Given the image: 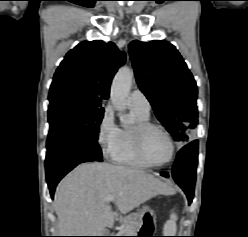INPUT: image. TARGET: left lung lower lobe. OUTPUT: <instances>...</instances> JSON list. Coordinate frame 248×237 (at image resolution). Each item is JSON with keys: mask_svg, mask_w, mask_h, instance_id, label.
Instances as JSON below:
<instances>
[{"mask_svg": "<svg viewBox=\"0 0 248 237\" xmlns=\"http://www.w3.org/2000/svg\"><path fill=\"white\" fill-rule=\"evenodd\" d=\"M198 141L185 145L179 152L173 165L171 176L182 188L188 197L189 204L192 202L195 187V175L197 169ZM169 177L167 173L161 174Z\"/></svg>", "mask_w": 248, "mask_h": 237, "instance_id": "obj_1", "label": "left lung lower lobe"}]
</instances>
